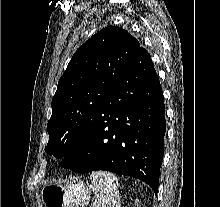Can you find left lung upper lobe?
Wrapping results in <instances>:
<instances>
[{
    "label": "left lung upper lobe",
    "mask_w": 220,
    "mask_h": 207,
    "mask_svg": "<svg viewBox=\"0 0 220 207\" xmlns=\"http://www.w3.org/2000/svg\"><path fill=\"white\" fill-rule=\"evenodd\" d=\"M140 43L128 31L109 26L81 45L59 79L45 151L57 159L69 153L90 131L105 100Z\"/></svg>",
    "instance_id": "obj_1"
}]
</instances>
